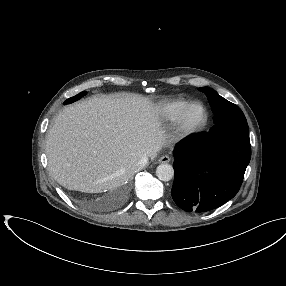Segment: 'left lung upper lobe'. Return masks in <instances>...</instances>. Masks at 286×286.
Instances as JSON below:
<instances>
[{
  "mask_svg": "<svg viewBox=\"0 0 286 286\" xmlns=\"http://www.w3.org/2000/svg\"><path fill=\"white\" fill-rule=\"evenodd\" d=\"M198 90L206 94L214 113L215 124L226 121L247 122L241 109L237 105L221 97L215 90L209 87H202Z\"/></svg>",
  "mask_w": 286,
  "mask_h": 286,
  "instance_id": "1",
  "label": "left lung upper lobe"
}]
</instances>
